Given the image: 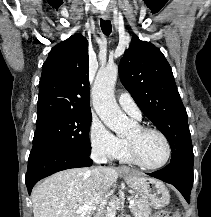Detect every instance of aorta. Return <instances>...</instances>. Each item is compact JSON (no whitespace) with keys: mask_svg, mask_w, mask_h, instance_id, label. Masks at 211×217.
I'll return each mask as SVG.
<instances>
[{"mask_svg":"<svg viewBox=\"0 0 211 217\" xmlns=\"http://www.w3.org/2000/svg\"><path fill=\"white\" fill-rule=\"evenodd\" d=\"M118 76V66L108 65L97 73L92 88L93 107L103 123L117 135L129 129V119L119 108L114 97V85ZM116 216V202L111 199L105 217Z\"/></svg>","mask_w":211,"mask_h":217,"instance_id":"762f6f07","label":"aorta"}]
</instances>
